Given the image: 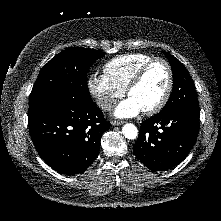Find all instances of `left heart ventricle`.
<instances>
[{"label": "left heart ventricle", "instance_id": "1", "mask_svg": "<svg viewBox=\"0 0 221 221\" xmlns=\"http://www.w3.org/2000/svg\"><path fill=\"white\" fill-rule=\"evenodd\" d=\"M167 70L156 62L146 71L141 82L130 92L131 98L142 110L153 107L161 99L167 85Z\"/></svg>", "mask_w": 221, "mask_h": 221}]
</instances>
